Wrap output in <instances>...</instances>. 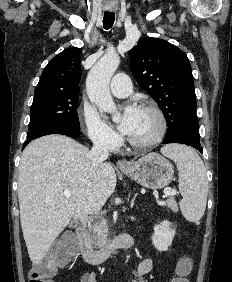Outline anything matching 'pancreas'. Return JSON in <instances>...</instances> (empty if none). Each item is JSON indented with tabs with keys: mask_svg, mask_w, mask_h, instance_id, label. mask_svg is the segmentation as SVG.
Returning <instances> with one entry per match:
<instances>
[{
	"mask_svg": "<svg viewBox=\"0 0 232 282\" xmlns=\"http://www.w3.org/2000/svg\"><path fill=\"white\" fill-rule=\"evenodd\" d=\"M166 205L173 212L178 211V204L175 199L170 198L166 201ZM108 226L105 222H95L88 227V237L91 243L97 248H103L108 243Z\"/></svg>",
	"mask_w": 232,
	"mask_h": 282,
	"instance_id": "pancreas-1",
	"label": "pancreas"
}]
</instances>
